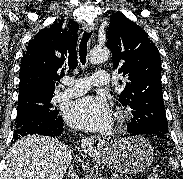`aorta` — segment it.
<instances>
[{"label":"aorta","mask_w":183,"mask_h":179,"mask_svg":"<svg viewBox=\"0 0 183 179\" xmlns=\"http://www.w3.org/2000/svg\"><path fill=\"white\" fill-rule=\"evenodd\" d=\"M110 58V50L107 47L94 48L89 55L92 64L102 63Z\"/></svg>","instance_id":"762f6f07"}]
</instances>
